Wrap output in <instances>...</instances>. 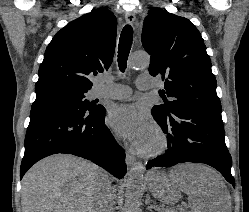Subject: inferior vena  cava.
I'll return each mask as SVG.
<instances>
[{
    "mask_svg": "<svg viewBox=\"0 0 249 212\" xmlns=\"http://www.w3.org/2000/svg\"><path fill=\"white\" fill-rule=\"evenodd\" d=\"M143 178V174H140ZM139 174H135L133 178H140ZM113 194L111 182L107 176V172L100 170L97 178V186L95 190L92 212H113Z\"/></svg>",
    "mask_w": 249,
    "mask_h": 212,
    "instance_id": "obj_1",
    "label": "inferior vena cava"
}]
</instances>
